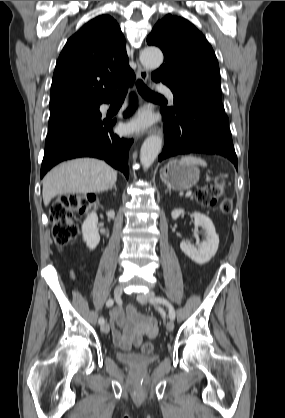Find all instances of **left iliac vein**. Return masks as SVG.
Wrapping results in <instances>:
<instances>
[{
  "instance_id": "1",
  "label": "left iliac vein",
  "mask_w": 285,
  "mask_h": 418,
  "mask_svg": "<svg viewBox=\"0 0 285 418\" xmlns=\"http://www.w3.org/2000/svg\"><path fill=\"white\" fill-rule=\"evenodd\" d=\"M154 297H155V295H154L153 292H147V293H144V294H139L137 296V299L141 303H147V302L151 301ZM166 329L168 331H172L174 329V322L172 320H169L167 322Z\"/></svg>"
}]
</instances>
